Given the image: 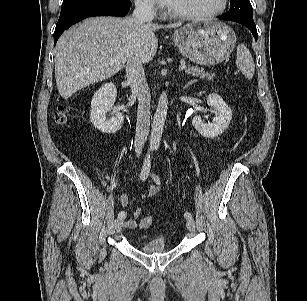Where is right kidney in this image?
<instances>
[{
  "mask_svg": "<svg viewBox=\"0 0 307 301\" xmlns=\"http://www.w3.org/2000/svg\"><path fill=\"white\" fill-rule=\"evenodd\" d=\"M117 91L113 83H105L94 94L91 101L90 121L102 133L114 134L123 124L124 117L114 111V116L106 119L107 112L112 110Z\"/></svg>",
  "mask_w": 307,
  "mask_h": 301,
  "instance_id": "obj_1",
  "label": "right kidney"
}]
</instances>
